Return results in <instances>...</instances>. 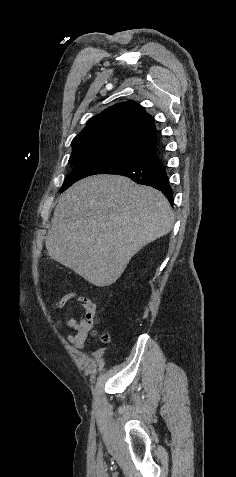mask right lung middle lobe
Returning a JSON list of instances; mask_svg holds the SVG:
<instances>
[{"label": "right lung middle lobe", "mask_w": 236, "mask_h": 477, "mask_svg": "<svg viewBox=\"0 0 236 477\" xmlns=\"http://www.w3.org/2000/svg\"><path fill=\"white\" fill-rule=\"evenodd\" d=\"M134 163L142 160L141 156H135L130 159ZM73 170L66 179L64 185L61 188V192L71 186L76 181L85 178L90 175L96 174H113L118 169L124 167V164L117 161H112L108 159H83L69 161Z\"/></svg>", "instance_id": "1"}]
</instances>
